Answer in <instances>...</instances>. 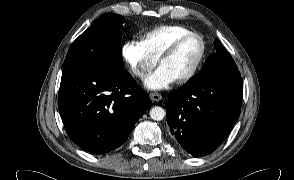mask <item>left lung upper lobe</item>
I'll return each instance as SVG.
<instances>
[{
    "label": "left lung upper lobe",
    "mask_w": 294,
    "mask_h": 180,
    "mask_svg": "<svg viewBox=\"0 0 294 180\" xmlns=\"http://www.w3.org/2000/svg\"><path fill=\"white\" fill-rule=\"evenodd\" d=\"M215 53L208 57L203 68L190 79L187 85L205 84L221 77H241L230 53L218 39L214 41Z\"/></svg>",
    "instance_id": "5c2ea615"
}]
</instances>
